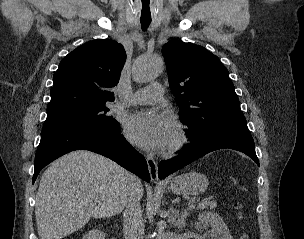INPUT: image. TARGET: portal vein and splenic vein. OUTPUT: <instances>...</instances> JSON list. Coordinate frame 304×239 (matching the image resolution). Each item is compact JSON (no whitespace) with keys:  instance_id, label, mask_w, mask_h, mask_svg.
<instances>
[{"instance_id":"1","label":"portal vein and splenic vein","mask_w":304,"mask_h":239,"mask_svg":"<svg viewBox=\"0 0 304 239\" xmlns=\"http://www.w3.org/2000/svg\"><path fill=\"white\" fill-rule=\"evenodd\" d=\"M189 209H193L195 207V203L192 202L191 204L188 205Z\"/></svg>"}]
</instances>
